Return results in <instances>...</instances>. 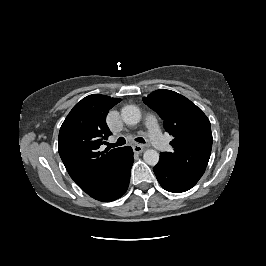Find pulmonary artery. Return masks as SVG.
Masks as SVG:
<instances>
[{
    "label": "pulmonary artery",
    "mask_w": 266,
    "mask_h": 266,
    "mask_svg": "<svg viewBox=\"0 0 266 266\" xmlns=\"http://www.w3.org/2000/svg\"><path fill=\"white\" fill-rule=\"evenodd\" d=\"M145 125L148 130V138L151 144L159 150L164 149L166 140L161 132L157 118L153 114H148L145 117Z\"/></svg>",
    "instance_id": "pulmonary-artery-1"
}]
</instances>
